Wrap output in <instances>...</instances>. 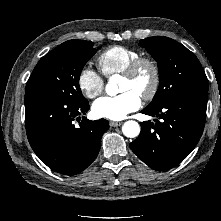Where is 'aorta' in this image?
Returning a JSON list of instances; mask_svg holds the SVG:
<instances>
[{"label":"aorta","mask_w":221,"mask_h":221,"mask_svg":"<svg viewBox=\"0 0 221 221\" xmlns=\"http://www.w3.org/2000/svg\"><path fill=\"white\" fill-rule=\"evenodd\" d=\"M105 90L106 93L110 96H114L118 93V86L116 84L115 76L110 77ZM122 132L128 138L137 137L140 133V125L133 120L126 121L122 126Z\"/></svg>","instance_id":"1"}]
</instances>
